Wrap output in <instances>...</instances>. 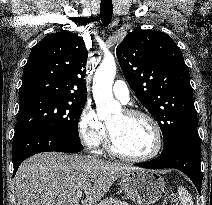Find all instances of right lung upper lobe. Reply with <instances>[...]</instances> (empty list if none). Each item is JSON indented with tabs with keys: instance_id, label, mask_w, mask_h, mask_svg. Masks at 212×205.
I'll list each match as a JSON object with an SVG mask.
<instances>
[{
	"instance_id": "1",
	"label": "right lung upper lobe",
	"mask_w": 212,
	"mask_h": 205,
	"mask_svg": "<svg viewBox=\"0 0 212 205\" xmlns=\"http://www.w3.org/2000/svg\"><path fill=\"white\" fill-rule=\"evenodd\" d=\"M88 52L81 37L57 32L35 45L23 69L20 100L54 97L86 101L85 67Z\"/></svg>"
}]
</instances>
